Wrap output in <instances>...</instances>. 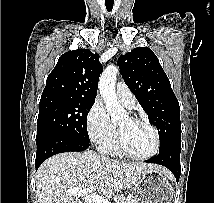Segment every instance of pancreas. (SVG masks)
Returning a JSON list of instances; mask_svg holds the SVG:
<instances>
[{
  "mask_svg": "<svg viewBox=\"0 0 214 203\" xmlns=\"http://www.w3.org/2000/svg\"><path fill=\"white\" fill-rule=\"evenodd\" d=\"M126 203H137L135 199H130V200H127Z\"/></svg>",
  "mask_w": 214,
  "mask_h": 203,
  "instance_id": "1",
  "label": "pancreas"
}]
</instances>
